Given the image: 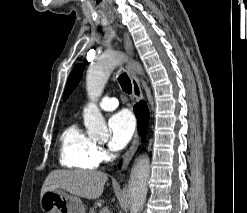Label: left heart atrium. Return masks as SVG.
Listing matches in <instances>:
<instances>
[{"label":"left heart atrium","instance_id":"1","mask_svg":"<svg viewBox=\"0 0 247 213\" xmlns=\"http://www.w3.org/2000/svg\"><path fill=\"white\" fill-rule=\"evenodd\" d=\"M110 130L109 148L113 151L123 149L135 132V119L128 111H119L112 115L108 122Z\"/></svg>","mask_w":247,"mask_h":213}]
</instances>
